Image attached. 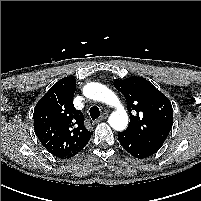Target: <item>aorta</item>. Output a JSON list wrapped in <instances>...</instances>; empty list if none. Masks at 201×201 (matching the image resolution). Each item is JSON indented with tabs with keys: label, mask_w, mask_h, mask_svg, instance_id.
<instances>
[{
	"label": "aorta",
	"mask_w": 201,
	"mask_h": 201,
	"mask_svg": "<svg viewBox=\"0 0 201 201\" xmlns=\"http://www.w3.org/2000/svg\"><path fill=\"white\" fill-rule=\"evenodd\" d=\"M83 94L89 99L117 108V110L110 115L108 120L113 129L123 131L127 127L128 115L113 91L102 84L93 82L88 83L83 88Z\"/></svg>",
	"instance_id": "aorta-1"
}]
</instances>
